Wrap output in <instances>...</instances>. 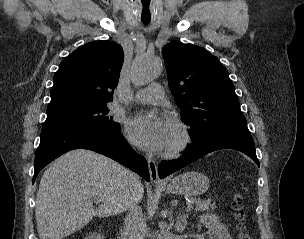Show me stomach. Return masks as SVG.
Here are the masks:
<instances>
[{
    "instance_id": "obj_1",
    "label": "stomach",
    "mask_w": 304,
    "mask_h": 239,
    "mask_svg": "<svg viewBox=\"0 0 304 239\" xmlns=\"http://www.w3.org/2000/svg\"><path fill=\"white\" fill-rule=\"evenodd\" d=\"M209 184L206 175L191 171L174 177L165 189L176 195L199 196L208 190Z\"/></svg>"
}]
</instances>
